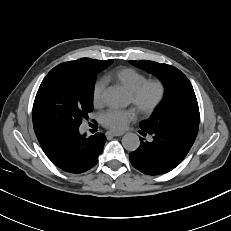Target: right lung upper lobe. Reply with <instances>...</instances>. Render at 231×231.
Masks as SVG:
<instances>
[{"label":"right lung upper lobe","instance_id":"cb5924a9","mask_svg":"<svg viewBox=\"0 0 231 231\" xmlns=\"http://www.w3.org/2000/svg\"><path fill=\"white\" fill-rule=\"evenodd\" d=\"M101 60H93V59H90V58H82V59H78V60H75V61H70V62H66V63H70L74 66H76L77 68L79 69H91V68H94L98 65L101 64ZM47 128L43 127V126H36L34 127V131L35 133H39L43 130H45Z\"/></svg>","mask_w":231,"mask_h":231}]
</instances>
